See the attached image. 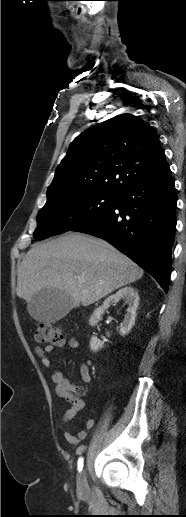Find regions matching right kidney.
Here are the masks:
<instances>
[{"label":"right kidney","instance_id":"1","mask_svg":"<svg viewBox=\"0 0 186 517\" xmlns=\"http://www.w3.org/2000/svg\"><path fill=\"white\" fill-rule=\"evenodd\" d=\"M124 300L128 304L127 313L125 314L123 322L120 324V335H127L132 326L135 324L136 310L139 305L138 292L131 286L125 287L117 291L114 295L109 296L103 305L94 310L90 317L89 324L95 326V323L101 319L104 312L110 307L115 305L120 300ZM104 342L100 341L97 337L92 336L90 340V349L94 352L103 348Z\"/></svg>","mask_w":186,"mask_h":517}]
</instances>
